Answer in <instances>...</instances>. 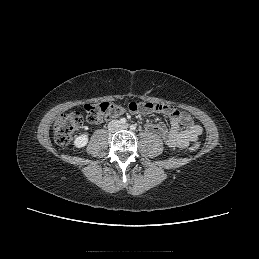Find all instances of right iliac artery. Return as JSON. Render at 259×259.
<instances>
[{
	"mask_svg": "<svg viewBox=\"0 0 259 259\" xmlns=\"http://www.w3.org/2000/svg\"><path fill=\"white\" fill-rule=\"evenodd\" d=\"M120 123H121V124H125V123H126V119H125V118H121V119H120Z\"/></svg>",
	"mask_w": 259,
	"mask_h": 259,
	"instance_id": "right-iliac-artery-1",
	"label": "right iliac artery"
}]
</instances>
